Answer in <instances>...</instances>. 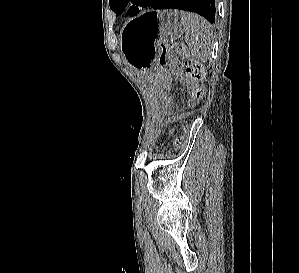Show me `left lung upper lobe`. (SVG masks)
<instances>
[{"mask_svg":"<svg viewBox=\"0 0 299 273\" xmlns=\"http://www.w3.org/2000/svg\"><path fill=\"white\" fill-rule=\"evenodd\" d=\"M152 0H131L132 3L141 6L148 7ZM110 8L116 13L121 14L128 4V0H109ZM139 13V9L135 6L130 7L128 14L130 16L136 15Z\"/></svg>","mask_w":299,"mask_h":273,"instance_id":"5c2ea615","label":"left lung upper lobe"}]
</instances>
